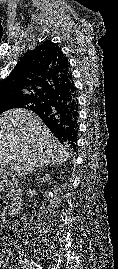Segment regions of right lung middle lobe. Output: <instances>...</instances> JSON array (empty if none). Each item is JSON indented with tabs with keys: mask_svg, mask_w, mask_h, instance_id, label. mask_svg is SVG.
Returning <instances> with one entry per match:
<instances>
[{
	"mask_svg": "<svg viewBox=\"0 0 118 269\" xmlns=\"http://www.w3.org/2000/svg\"><path fill=\"white\" fill-rule=\"evenodd\" d=\"M32 98L18 99V100H2L0 101V114L14 108H26L34 106Z\"/></svg>",
	"mask_w": 118,
	"mask_h": 269,
	"instance_id": "dd1d6c3e",
	"label": "right lung middle lobe"
}]
</instances>
